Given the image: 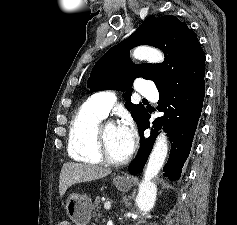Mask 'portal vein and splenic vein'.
<instances>
[{"label":"portal vein and splenic vein","instance_id":"18ae733b","mask_svg":"<svg viewBox=\"0 0 237 225\" xmlns=\"http://www.w3.org/2000/svg\"><path fill=\"white\" fill-rule=\"evenodd\" d=\"M104 208H105L106 210H110V208H111V202H110V201L104 202Z\"/></svg>","mask_w":237,"mask_h":225}]
</instances>
